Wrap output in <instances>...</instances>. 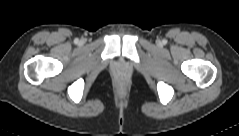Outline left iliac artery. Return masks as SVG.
Returning <instances> with one entry per match:
<instances>
[{"label": "left iliac artery", "instance_id": "obj_1", "mask_svg": "<svg viewBox=\"0 0 239 136\" xmlns=\"http://www.w3.org/2000/svg\"><path fill=\"white\" fill-rule=\"evenodd\" d=\"M166 43H167V40L164 39V40H163V44H166Z\"/></svg>", "mask_w": 239, "mask_h": 136}]
</instances>
